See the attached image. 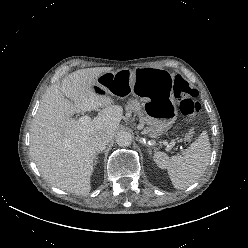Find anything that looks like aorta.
I'll use <instances>...</instances> for the list:
<instances>
[{"label": "aorta", "mask_w": 248, "mask_h": 248, "mask_svg": "<svg viewBox=\"0 0 248 248\" xmlns=\"http://www.w3.org/2000/svg\"><path fill=\"white\" fill-rule=\"evenodd\" d=\"M116 143L121 147L130 146L132 143V134L129 131H119L116 135Z\"/></svg>", "instance_id": "aorta-1"}]
</instances>
